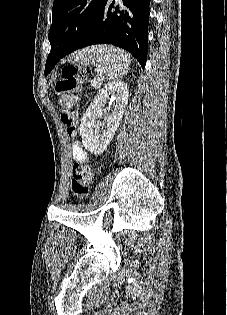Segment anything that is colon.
<instances>
[{
    "instance_id": "colon-1",
    "label": "colon",
    "mask_w": 227,
    "mask_h": 315,
    "mask_svg": "<svg viewBox=\"0 0 227 315\" xmlns=\"http://www.w3.org/2000/svg\"><path fill=\"white\" fill-rule=\"evenodd\" d=\"M85 80V69L77 65H68L63 69L62 79L55 85V93L58 97H67L73 93L78 84ZM61 122L70 136L77 133V118L68 108L61 110ZM92 171L90 166L76 163L73 167L71 179V191L78 198H85L90 192Z\"/></svg>"
}]
</instances>
